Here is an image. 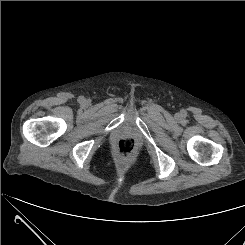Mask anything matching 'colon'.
Instances as JSON below:
<instances>
[{
	"mask_svg": "<svg viewBox=\"0 0 245 245\" xmlns=\"http://www.w3.org/2000/svg\"><path fill=\"white\" fill-rule=\"evenodd\" d=\"M115 151L120 158H132L136 154V142L131 138L120 139L115 145Z\"/></svg>",
	"mask_w": 245,
	"mask_h": 245,
	"instance_id": "colon-1",
	"label": "colon"
}]
</instances>
